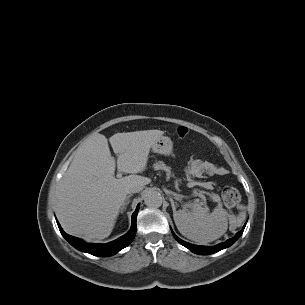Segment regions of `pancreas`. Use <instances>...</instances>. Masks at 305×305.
<instances>
[{
    "mask_svg": "<svg viewBox=\"0 0 305 305\" xmlns=\"http://www.w3.org/2000/svg\"><path fill=\"white\" fill-rule=\"evenodd\" d=\"M154 170H163L166 172V176L169 178L172 176L171 168L167 166L163 161H157L153 164Z\"/></svg>",
    "mask_w": 305,
    "mask_h": 305,
    "instance_id": "obj_1",
    "label": "pancreas"
}]
</instances>
